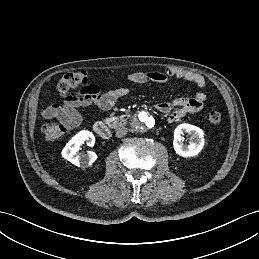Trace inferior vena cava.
Masks as SVG:
<instances>
[{
    "mask_svg": "<svg viewBox=\"0 0 259 259\" xmlns=\"http://www.w3.org/2000/svg\"><path fill=\"white\" fill-rule=\"evenodd\" d=\"M128 133V129L126 127H119L116 129V137L122 138Z\"/></svg>",
    "mask_w": 259,
    "mask_h": 259,
    "instance_id": "1",
    "label": "inferior vena cava"
}]
</instances>
